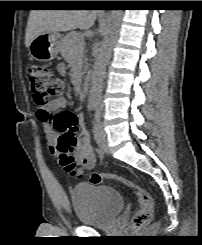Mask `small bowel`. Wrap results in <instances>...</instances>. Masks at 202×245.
I'll use <instances>...</instances> for the list:
<instances>
[{
    "mask_svg": "<svg viewBox=\"0 0 202 245\" xmlns=\"http://www.w3.org/2000/svg\"><path fill=\"white\" fill-rule=\"evenodd\" d=\"M65 107V99L63 97H59L53 101L50 105L49 109L53 111H61ZM80 120L83 119L82 115L78 116ZM43 130L47 135L48 141L52 144L54 141V135L52 134V129L47 122L43 123ZM54 147H51L53 151ZM74 155L76 160L82 164V166L90 170L95 165V156L93 152V148L91 145L90 136L85 128L82 127V135L78 140L77 147L75 148Z\"/></svg>",
    "mask_w": 202,
    "mask_h": 245,
    "instance_id": "obj_1",
    "label": "small bowel"
}]
</instances>
